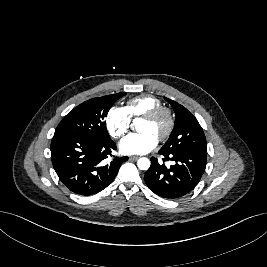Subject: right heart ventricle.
<instances>
[{
    "label": "right heart ventricle",
    "instance_id": "1",
    "mask_svg": "<svg viewBox=\"0 0 267 267\" xmlns=\"http://www.w3.org/2000/svg\"><path fill=\"white\" fill-rule=\"evenodd\" d=\"M159 106H162V103L158 98L143 94L129 99L126 103L125 110L131 119H136Z\"/></svg>",
    "mask_w": 267,
    "mask_h": 267
}]
</instances>
